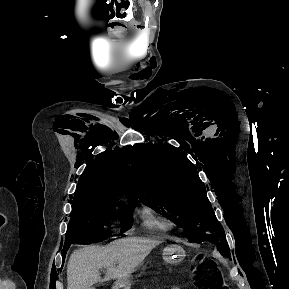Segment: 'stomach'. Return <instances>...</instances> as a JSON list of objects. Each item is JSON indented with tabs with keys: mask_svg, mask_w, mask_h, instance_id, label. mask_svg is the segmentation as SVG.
<instances>
[{
	"mask_svg": "<svg viewBox=\"0 0 289 289\" xmlns=\"http://www.w3.org/2000/svg\"><path fill=\"white\" fill-rule=\"evenodd\" d=\"M162 255L165 262L178 264L184 259L185 251L180 245L173 244L164 248ZM131 284V275H128L124 278L118 279L112 289H130Z\"/></svg>",
	"mask_w": 289,
	"mask_h": 289,
	"instance_id": "stomach-1",
	"label": "stomach"
}]
</instances>
